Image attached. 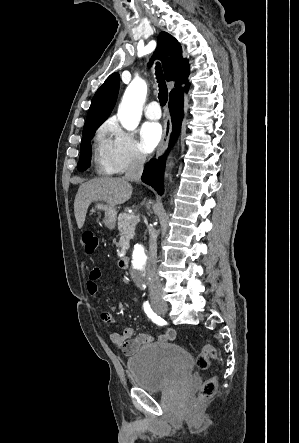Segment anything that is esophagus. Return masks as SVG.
Returning <instances> with one entry per match:
<instances>
[{"label": "esophagus", "mask_w": 299, "mask_h": 443, "mask_svg": "<svg viewBox=\"0 0 299 443\" xmlns=\"http://www.w3.org/2000/svg\"><path fill=\"white\" fill-rule=\"evenodd\" d=\"M171 127H172L171 118H170V115L168 112L167 117L165 119V123H164L163 136H162L161 142L157 148L156 158L160 157L164 153V151L168 145L169 137L171 134Z\"/></svg>", "instance_id": "1"}]
</instances>
